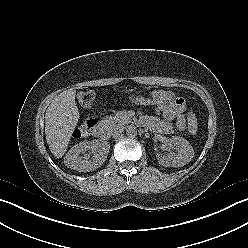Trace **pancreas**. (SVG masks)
<instances>
[{
  "instance_id": "pancreas-1",
  "label": "pancreas",
  "mask_w": 248,
  "mask_h": 248,
  "mask_svg": "<svg viewBox=\"0 0 248 248\" xmlns=\"http://www.w3.org/2000/svg\"><path fill=\"white\" fill-rule=\"evenodd\" d=\"M130 122H131L130 117L127 115L125 111H119L115 113L113 116H110L109 118L104 120L105 125L110 129L118 126H123Z\"/></svg>"
}]
</instances>
